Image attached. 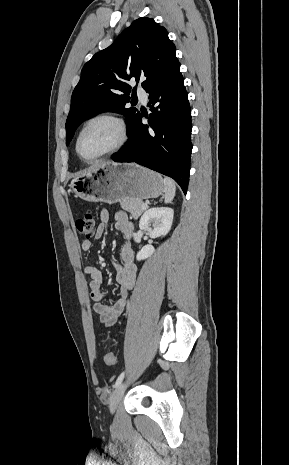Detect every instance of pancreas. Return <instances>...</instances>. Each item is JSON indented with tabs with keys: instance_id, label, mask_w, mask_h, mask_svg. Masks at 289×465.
Returning <instances> with one entry per match:
<instances>
[{
	"instance_id": "obj_1",
	"label": "pancreas",
	"mask_w": 289,
	"mask_h": 465,
	"mask_svg": "<svg viewBox=\"0 0 289 465\" xmlns=\"http://www.w3.org/2000/svg\"><path fill=\"white\" fill-rule=\"evenodd\" d=\"M142 200L125 199L120 202L121 208L130 212L133 218L137 219L144 211Z\"/></svg>"
}]
</instances>
